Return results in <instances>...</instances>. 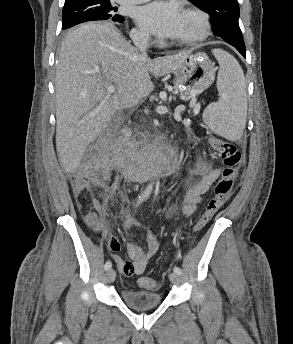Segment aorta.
<instances>
[{"instance_id":"obj_1","label":"aorta","mask_w":293,"mask_h":344,"mask_svg":"<svg viewBox=\"0 0 293 344\" xmlns=\"http://www.w3.org/2000/svg\"><path fill=\"white\" fill-rule=\"evenodd\" d=\"M153 184L154 183H149L148 186L146 187V189H145V194L146 195H150L151 194V192L153 190Z\"/></svg>"}]
</instances>
